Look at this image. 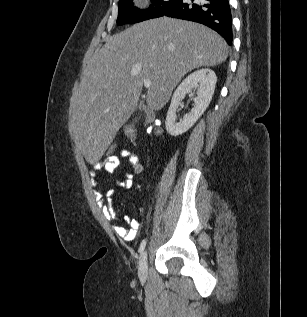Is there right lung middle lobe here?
I'll return each mask as SVG.
<instances>
[{
    "label": "right lung middle lobe",
    "mask_w": 307,
    "mask_h": 317,
    "mask_svg": "<svg viewBox=\"0 0 307 317\" xmlns=\"http://www.w3.org/2000/svg\"><path fill=\"white\" fill-rule=\"evenodd\" d=\"M175 1L176 0H151L150 7L143 10L134 7L132 0L119 1L117 24L138 23L160 17L175 3Z\"/></svg>",
    "instance_id": "1"
}]
</instances>
